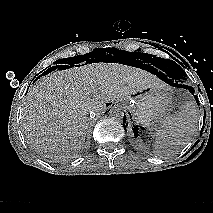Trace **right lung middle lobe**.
Returning <instances> with one entry per match:
<instances>
[{
    "label": "right lung middle lobe",
    "instance_id": "dd1d6c3e",
    "mask_svg": "<svg viewBox=\"0 0 213 213\" xmlns=\"http://www.w3.org/2000/svg\"><path fill=\"white\" fill-rule=\"evenodd\" d=\"M116 48H112V49H95L93 52L89 53V54H85V55H80V56H75L72 58H66L65 60H57L54 62V64H76L79 63L81 61H83L86 56L87 58H96L98 56H100L101 54H104L106 56L107 53L114 55L113 52H115ZM112 55L110 57H112ZM108 56V55H107ZM85 57V58H84ZM114 57V56H113Z\"/></svg>",
    "mask_w": 213,
    "mask_h": 213
}]
</instances>
